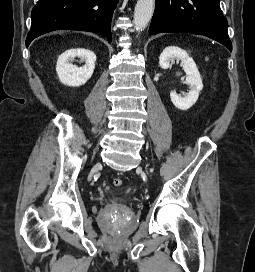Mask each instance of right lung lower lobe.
Here are the masks:
<instances>
[{
    "instance_id": "98d812e1",
    "label": "right lung lower lobe",
    "mask_w": 255,
    "mask_h": 272,
    "mask_svg": "<svg viewBox=\"0 0 255 272\" xmlns=\"http://www.w3.org/2000/svg\"><path fill=\"white\" fill-rule=\"evenodd\" d=\"M118 0H39L31 13L26 46L36 37L55 30L96 32L111 43L113 10Z\"/></svg>"
}]
</instances>
